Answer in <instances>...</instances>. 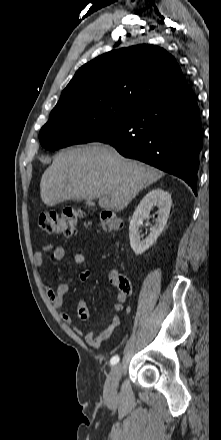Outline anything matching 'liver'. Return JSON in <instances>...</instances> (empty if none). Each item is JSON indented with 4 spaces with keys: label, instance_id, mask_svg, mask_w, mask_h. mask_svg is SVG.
<instances>
[{
    "label": "liver",
    "instance_id": "liver-1",
    "mask_svg": "<svg viewBox=\"0 0 221 440\" xmlns=\"http://www.w3.org/2000/svg\"><path fill=\"white\" fill-rule=\"evenodd\" d=\"M163 172L125 159L113 147L94 143L61 151L43 173L42 201L53 207L67 200L99 199L102 209L121 211Z\"/></svg>",
    "mask_w": 221,
    "mask_h": 440
}]
</instances>
